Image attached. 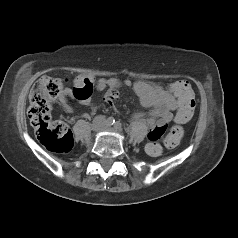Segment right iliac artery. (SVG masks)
<instances>
[{
	"mask_svg": "<svg viewBox=\"0 0 238 238\" xmlns=\"http://www.w3.org/2000/svg\"><path fill=\"white\" fill-rule=\"evenodd\" d=\"M106 123H107L108 125H113V124L115 123V120H114L113 117H109V118L106 120Z\"/></svg>",
	"mask_w": 238,
	"mask_h": 238,
	"instance_id": "obj_1",
	"label": "right iliac artery"
}]
</instances>
